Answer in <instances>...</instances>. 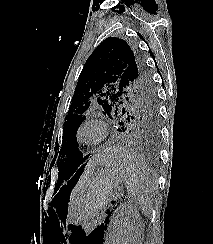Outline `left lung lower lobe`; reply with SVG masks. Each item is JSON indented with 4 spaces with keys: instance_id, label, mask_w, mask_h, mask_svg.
<instances>
[{
    "instance_id": "obj_1",
    "label": "left lung lower lobe",
    "mask_w": 213,
    "mask_h": 244,
    "mask_svg": "<svg viewBox=\"0 0 213 244\" xmlns=\"http://www.w3.org/2000/svg\"><path fill=\"white\" fill-rule=\"evenodd\" d=\"M117 131L125 132V133L131 135V137L133 139H135L137 141H141L143 144L145 143L147 145V147H149L150 151H152L156 147L157 136L155 138L143 139L139 135L135 134L133 132V130L131 128L129 129V127L126 126L125 124H118ZM89 156H90V154L86 155V156H84L82 153L79 154V156L75 162L74 168L72 170L73 176L69 181L70 183L75 184L78 181V179L86 165V160Z\"/></svg>"
}]
</instances>
